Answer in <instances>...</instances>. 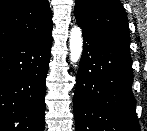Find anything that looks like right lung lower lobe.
<instances>
[{
    "instance_id": "98d812e1",
    "label": "right lung lower lobe",
    "mask_w": 147,
    "mask_h": 131,
    "mask_svg": "<svg viewBox=\"0 0 147 131\" xmlns=\"http://www.w3.org/2000/svg\"><path fill=\"white\" fill-rule=\"evenodd\" d=\"M51 45L49 31L0 49V131H44Z\"/></svg>"
}]
</instances>
